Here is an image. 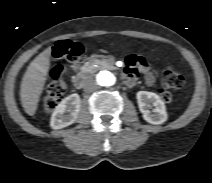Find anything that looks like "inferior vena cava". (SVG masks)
Masks as SVG:
<instances>
[{"label": "inferior vena cava", "instance_id": "inferior-vena-cava-1", "mask_svg": "<svg viewBox=\"0 0 212 183\" xmlns=\"http://www.w3.org/2000/svg\"><path fill=\"white\" fill-rule=\"evenodd\" d=\"M97 83L95 82V80L93 79H90L86 82L85 86H84V91L85 92H93L97 89Z\"/></svg>", "mask_w": 212, "mask_h": 183}]
</instances>
